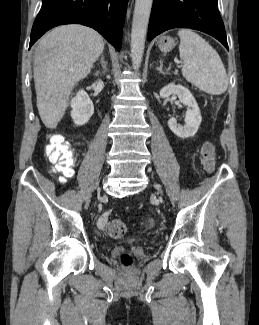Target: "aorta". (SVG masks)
Masks as SVG:
<instances>
[{"label":"aorta","instance_id":"762f6f07","mask_svg":"<svg viewBox=\"0 0 259 325\" xmlns=\"http://www.w3.org/2000/svg\"><path fill=\"white\" fill-rule=\"evenodd\" d=\"M153 0H136L132 30H131V57L132 65L138 70L144 53L147 27Z\"/></svg>","mask_w":259,"mask_h":325}]
</instances>
